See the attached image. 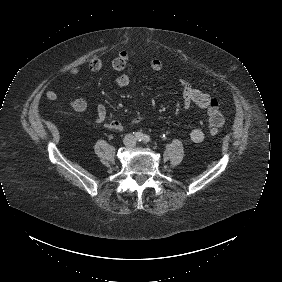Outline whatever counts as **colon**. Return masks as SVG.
Returning a JSON list of instances; mask_svg holds the SVG:
<instances>
[{"instance_id": "1", "label": "colon", "mask_w": 282, "mask_h": 282, "mask_svg": "<svg viewBox=\"0 0 282 282\" xmlns=\"http://www.w3.org/2000/svg\"><path fill=\"white\" fill-rule=\"evenodd\" d=\"M207 125L211 132H217L224 126V116L218 101L210 100L207 107Z\"/></svg>"}]
</instances>
